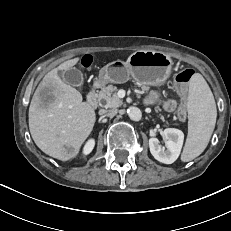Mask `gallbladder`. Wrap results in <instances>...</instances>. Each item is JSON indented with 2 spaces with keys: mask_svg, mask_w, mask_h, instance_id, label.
I'll return each mask as SVG.
<instances>
[{
  "mask_svg": "<svg viewBox=\"0 0 231 231\" xmlns=\"http://www.w3.org/2000/svg\"><path fill=\"white\" fill-rule=\"evenodd\" d=\"M61 76L65 83L71 86H80L83 83V75L80 70L76 68H70L69 70L63 71Z\"/></svg>",
  "mask_w": 231,
  "mask_h": 231,
  "instance_id": "gallbladder-1",
  "label": "gallbladder"
}]
</instances>
